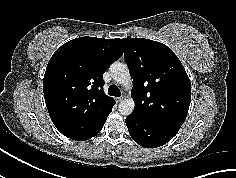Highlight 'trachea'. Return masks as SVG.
I'll list each match as a JSON object with an SVG mask.
<instances>
[{
    "mask_svg": "<svg viewBox=\"0 0 236 178\" xmlns=\"http://www.w3.org/2000/svg\"><path fill=\"white\" fill-rule=\"evenodd\" d=\"M108 94L115 97H120L121 92L115 85H110L108 88Z\"/></svg>",
    "mask_w": 236,
    "mask_h": 178,
    "instance_id": "trachea-1",
    "label": "trachea"
}]
</instances>
